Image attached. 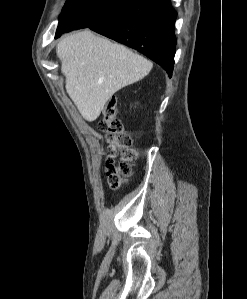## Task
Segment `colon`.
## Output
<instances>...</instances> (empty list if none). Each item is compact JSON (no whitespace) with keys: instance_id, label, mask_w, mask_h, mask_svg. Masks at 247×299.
I'll use <instances>...</instances> for the list:
<instances>
[{"instance_id":"1","label":"colon","mask_w":247,"mask_h":299,"mask_svg":"<svg viewBox=\"0 0 247 299\" xmlns=\"http://www.w3.org/2000/svg\"><path fill=\"white\" fill-rule=\"evenodd\" d=\"M98 129L106 136L109 143L106 170L109 185L117 189L132 171L136 151L132 147L131 137L124 131L122 122L117 117V102L109 99L103 108V118Z\"/></svg>"}]
</instances>
